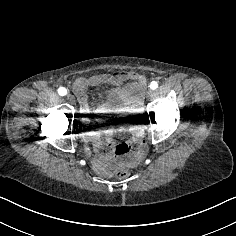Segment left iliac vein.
Wrapping results in <instances>:
<instances>
[{
  "mask_svg": "<svg viewBox=\"0 0 236 236\" xmlns=\"http://www.w3.org/2000/svg\"><path fill=\"white\" fill-rule=\"evenodd\" d=\"M147 94L152 100H155L157 98V93L154 90L147 91Z\"/></svg>",
  "mask_w": 236,
  "mask_h": 236,
  "instance_id": "left-iliac-vein-1",
  "label": "left iliac vein"
}]
</instances>
